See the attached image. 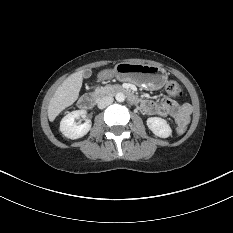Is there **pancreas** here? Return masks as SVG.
<instances>
[{"label":"pancreas","mask_w":233,"mask_h":233,"mask_svg":"<svg viewBox=\"0 0 233 233\" xmlns=\"http://www.w3.org/2000/svg\"><path fill=\"white\" fill-rule=\"evenodd\" d=\"M94 93L99 96L104 95L107 93L106 87L97 88Z\"/></svg>","instance_id":"cf45deb5"}]
</instances>
